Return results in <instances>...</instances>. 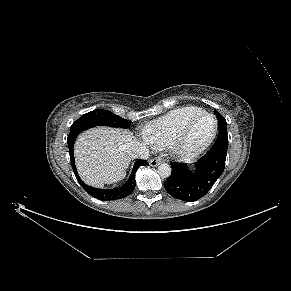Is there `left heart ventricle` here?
Instances as JSON below:
<instances>
[{
  "mask_svg": "<svg viewBox=\"0 0 291 291\" xmlns=\"http://www.w3.org/2000/svg\"><path fill=\"white\" fill-rule=\"evenodd\" d=\"M214 129V120L211 117L201 118L192 128L187 145L189 147H196L204 143L212 134Z\"/></svg>",
  "mask_w": 291,
  "mask_h": 291,
  "instance_id": "b2bd125f",
  "label": "left heart ventricle"
}]
</instances>
